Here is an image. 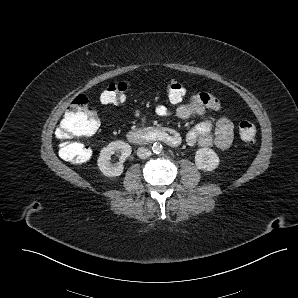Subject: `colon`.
<instances>
[{"mask_svg":"<svg viewBox=\"0 0 298 298\" xmlns=\"http://www.w3.org/2000/svg\"><path fill=\"white\" fill-rule=\"evenodd\" d=\"M128 85L124 81L110 82L101 93L100 100L105 104H120L126 98ZM187 94V89L180 82L171 80L166 85V95L170 102L179 103ZM99 127L97 114L89 107L86 96L79 95L73 99L62 120L56 128V136L62 141L65 152L78 151L80 161L87 160L90 152L85 146H78L74 139L93 135ZM239 134L246 144H253L256 137V128L249 121L239 124Z\"/></svg>","mask_w":298,"mask_h":298,"instance_id":"5ec220e1","label":"colon"}]
</instances>
